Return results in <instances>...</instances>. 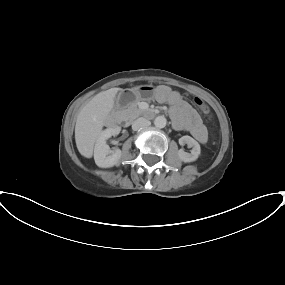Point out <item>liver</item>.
<instances>
[{"label": "liver", "mask_w": 285, "mask_h": 285, "mask_svg": "<svg viewBox=\"0 0 285 285\" xmlns=\"http://www.w3.org/2000/svg\"><path fill=\"white\" fill-rule=\"evenodd\" d=\"M118 90L111 88L98 93L80 110L75 125V141L82 156L92 157L94 144L114 106Z\"/></svg>", "instance_id": "6515ba94"}]
</instances>
